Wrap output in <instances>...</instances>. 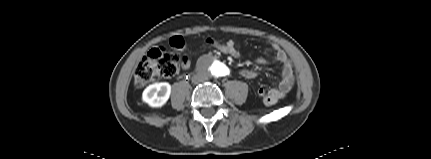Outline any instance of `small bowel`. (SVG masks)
Instances as JSON below:
<instances>
[{
    "instance_id": "small-bowel-1",
    "label": "small bowel",
    "mask_w": 431,
    "mask_h": 159,
    "mask_svg": "<svg viewBox=\"0 0 431 159\" xmlns=\"http://www.w3.org/2000/svg\"><path fill=\"white\" fill-rule=\"evenodd\" d=\"M207 43L218 51H229L231 47L235 51V54L227 53V55H230L234 58L240 57L239 49L233 40H228L227 42L222 43L219 42V40L208 39ZM274 48L276 50L274 60L282 65V74L278 86L276 88L270 89L269 91H266L265 96L262 97L266 105H276L278 103V100L282 99L292 89L295 82L293 67L287 55L282 50H279L276 47ZM268 62V59H266L265 57H259L256 59V63L259 65H265ZM190 66V58L187 56L183 57L182 68L188 69L190 68ZM240 74L247 79H253L257 77L258 72L255 70L244 68L240 71Z\"/></svg>"
}]
</instances>
